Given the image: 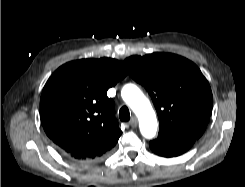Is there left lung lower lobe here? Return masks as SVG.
I'll list each match as a JSON object with an SVG mask.
<instances>
[{"label":"left lung lower lobe","instance_id":"0a47b994","mask_svg":"<svg viewBox=\"0 0 245 187\" xmlns=\"http://www.w3.org/2000/svg\"><path fill=\"white\" fill-rule=\"evenodd\" d=\"M197 139L187 138L178 140H160L150 141L151 150L159 156L176 157L185 153Z\"/></svg>","mask_w":245,"mask_h":187}]
</instances>
